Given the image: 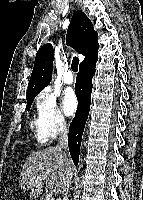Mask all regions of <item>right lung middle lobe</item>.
Wrapping results in <instances>:
<instances>
[{"label":"right lung middle lobe","instance_id":"obj_1","mask_svg":"<svg viewBox=\"0 0 143 200\" xmlns=\"http://www.w3.org/2000/svg\"><path fill=\"white\" fill-rule=\"evenodd\" d=\"M34 98L27 100V110L29 111Z\"/></svg>","mask_w":143,"mask_h":200}]
</instances>
